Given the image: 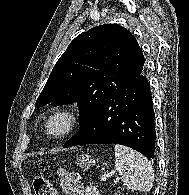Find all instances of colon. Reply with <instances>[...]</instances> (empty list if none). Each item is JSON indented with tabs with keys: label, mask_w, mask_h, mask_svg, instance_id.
Instances as JSON below:
<instances>
[{
	"label": "colon",
	"mask_w": 189,
	"mask_h": 195,
	"mask_svg": "<svg viewBox=\"0 0 189 195\" xmlns=\"http://www.w3.org/2000/svg\"><path fill=\"white\" fill-rule=\"evenodd\" d=\"M59 176L65 195H85V190L77 174L59 170ZM33 189L36 195H57L53 184L41 176H37L33 180Z\"/></svg>",
	"instance_id": "obj_1"
}]
</instances>
